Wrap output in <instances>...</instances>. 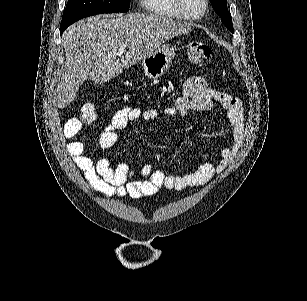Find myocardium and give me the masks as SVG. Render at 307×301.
Listing matches in <instances>:
<instances>
[{"label":"myocardium","instance_id":"myocardium-1","mask_svg":"<svg viewBox=\"0 0 307 301\" xmlns=\"http://www.w3.org/2000/svg\"><path fill=\"white\" fill-rule=\"evenodd\" d=\"M201 2L198 4V9L196 10V13H192L191 10H183L185 8V5L183 3L186 2V0H175L173 2L174 13L176 17H182V22H200L201 17L205 14L206 9V1L207 0H200Z\"/></svg>","mask_w":307,"mask_h":301}]
</instances>
